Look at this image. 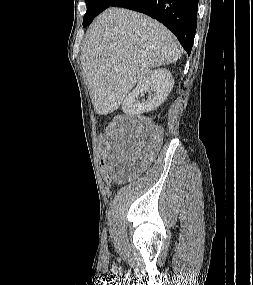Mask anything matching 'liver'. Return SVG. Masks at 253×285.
Wrapping results in <instances>:
<instances>
[{"mask_svg":"<svg viewBox=\"0 0 253 285\" xmlns=\"http://www.w3.org/2000/svg\"><path fill=\"white\" fill-rule=\"evenodd\" d=\"M181 54L176 37L158 21L123 8L105 10L89 26L80 56L95 112L117 110L146 73Z\"/></svg>","mask_w":253,"mask_h":285,"instance_id":"6515ba94","label":"liver"}]
</instances>
